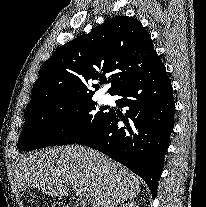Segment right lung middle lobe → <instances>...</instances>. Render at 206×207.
Masks as SVG:
<instances>
[{"label": "right lung middle lobe", "instance_id": "obj_1", "mask_svg": "<svg viewBox=\"0 0 206 207\" xmlns=\"http://www.w3.org/2000/svg\"><path fill=\"white\" fill-rule=\"evenodd\" d=\"M91 98L49 102L26 111L18 149L73 144L93 132L109 112L104 107L96 111Z\"/></svg>", "mask_w": 206, "mask_h": 207}]
</instances>
